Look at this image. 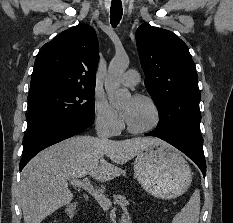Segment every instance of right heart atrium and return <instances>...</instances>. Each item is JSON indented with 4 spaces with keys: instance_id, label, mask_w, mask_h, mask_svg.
<instances>
[{
    "instance_id": "d8ad5b80",
    "label": "right heart atrium",
    "mask_w": 233,
    "mask_h": 223,
    "mask_svg": "<svg viewBox=\"0 0 233 223\" xmlns=\"http://www.w3.org/2000/svg\"><path fill=\"white\" fill-rule=\"evenodd\" d=\"M95 125L98 130L109 135H116L121 131L122 121L117 111L103 100L95 101Z\"/></svg>"
}]
</instances>
